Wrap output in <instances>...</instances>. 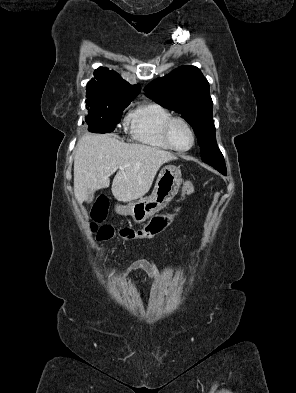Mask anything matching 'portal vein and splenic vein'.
Here are the masks:
<instances>
[{"label":"portal vein and splenic vein","instance_id":"18ae733b","mask_svg":"<svg viewBox=\"0 0 296 393\" xmlns=\"http://www.w3.org/2000/svg\"><path fill=\"white\" fill-rule=\"evenodd\" d=\"M122 169V167L120 166V167H115L114 169H113V171H115V170H117V169Z\"/></svg>","mask_w":296,"mask_h":393}]
</instances>
